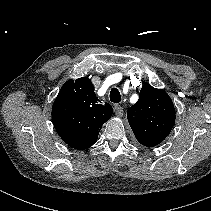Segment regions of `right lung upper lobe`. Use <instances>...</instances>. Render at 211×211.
Here are the masks:
<instances>
[{"instance_id": "right-lung-upper-lobe-1", "label": "right lung upper lobe", "mask_w": 211, "mask_h": 211, "mask_svg": "<svg viewBox=\"0 0 211 211\" xmlns=\"http://www.w3.org/2000/svg\"><path fill=\"white\" fill-rule=\"evenodd\" d=\"M56 99L66 101L71 121L68 126L55 127L58 134L74 149L89 148L112 116V106L100 104L92 82L85 77L65 82Z\"/></svg>"}]
</instances>
